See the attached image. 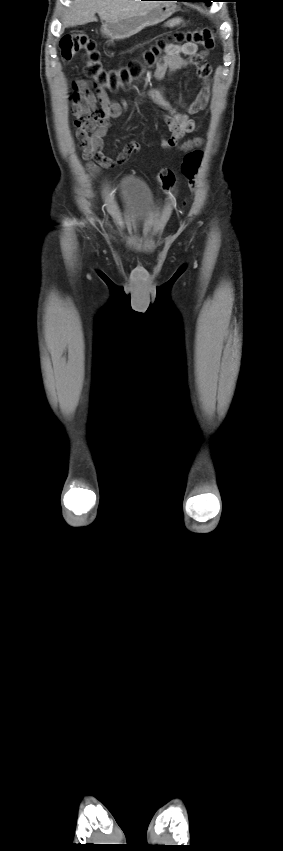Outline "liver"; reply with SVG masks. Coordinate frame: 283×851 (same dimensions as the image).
I'll return each instance as SVG.
<instances>
[{
	"instance_id": "6515ba94",
	"label": "liver",
	"mask_w": 283,
	"mask_h": 851,
	"mask_svg": "<svg viewBox=\"0 0 283 851\" xmlns=\"http://www.w3.org/2000/svg\"><path fill=\"white\" fill-rule=\"evenodd\" d=\"M156 3L140 0H74L63 16L64 26L84 25L96 21L98 13L101 20L114 22L132 17Z\"/></svg>"
}]
</instances>
